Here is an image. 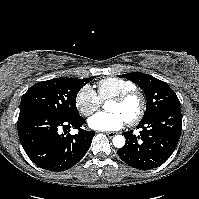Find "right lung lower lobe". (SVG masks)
Here are the masks:
<instances>
[{
	"label": "right lung lower lobe",
	"mask_w": 199,
	"mask_h": 199,
	"mask_svg": "<svg viewBox=\"0 0 199 199\" xmlns=\"http://www.w3.org/2000/svg\"><path fill=\"white\" fill-rule=\"evenodd\" d=\"M82 116L64 119L42 111L19 114L18 134L28 157L39 167L63 171L77 164L88 151L94 131H84ZM78 129L76 135L68 132Z\"/></svg>",
	"instance_id": "1"
}]
</instances>
